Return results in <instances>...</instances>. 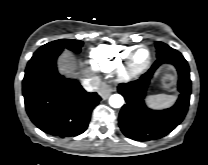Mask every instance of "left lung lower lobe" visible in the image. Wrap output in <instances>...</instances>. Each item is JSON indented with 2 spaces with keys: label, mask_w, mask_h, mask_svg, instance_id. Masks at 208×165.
<instances>
[{
  "label": "left lung lower lobe",
  "mask_w": 208,
  "mask_h": 165,
  "mask_svg": "<svg viewBox=\"0 0 208 165\" xmlns=\"http://www.w3.org/2000/svg\"><path fill=\"white\" fill-rule=\"evenodd\" d=\"M164 63H170L176 67L180 95L171 108L157 111L149 109L144 99L150 80L157 68ZM118 92L126 101L119 115V126L123 134L137 141L159 139L175 129L188 111L191 94L188 63L180 52L172 49L157 57L151 68L138 80L120 84Z\"/></svg>",
  "instance_id": "0a47b994"
}]
</instances>
